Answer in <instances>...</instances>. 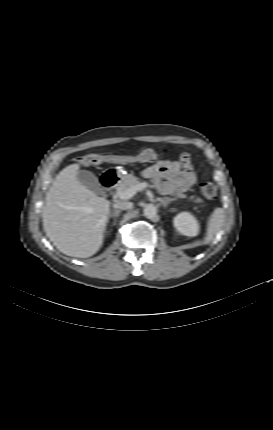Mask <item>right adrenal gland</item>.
<instances>
[{
    "label": "right adrenal gland",
    "mask_w": 273,
    "mask_h": 430,
    "mask_svg": "<svg viewBox=\"0 0 273 430\" xmlns=\"http://www.w3.org/2000/svg\"><path fill=\"white\" fill-rule=\"evenodd\" d=\"M120 212H121L120 210H113V212H110L109 215H108L107 222L109 221V219L111 217H114V222H116V218L119 217Z\"/></svg>",
    "instance_id": "right-adrenal-gland-1"
}]
</instances>
